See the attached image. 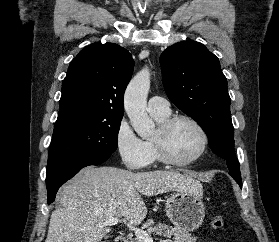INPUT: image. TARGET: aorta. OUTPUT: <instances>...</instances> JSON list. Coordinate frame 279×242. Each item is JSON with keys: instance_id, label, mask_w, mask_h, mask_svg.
Wrapping results in <instances>:
<instances>
[{"instance_id": "762f6f07", "label": "aorta", "mask_w": 279, "mask_h": 242, "mask_svg": "<svg viewBox=\"0 0 279 242\" xmlns=\"http://www.w3.org/2000/svg\"><path fill=\"white\" fill-rule=\"evenodd\" d=\"M149 88L150 72L143 69L130 81L124 95V109L132 127L142 138H148L155 130V124L146 112Z\"/></svg>"}]
</instances>
